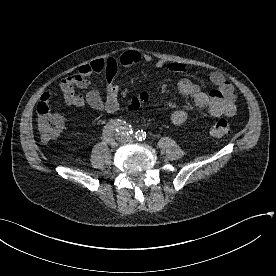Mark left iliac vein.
Masks as SVG:
<instances>
[{
  "mask_svg": "<svg viewBox=\"0 0 276 276\" xmlns=\"http://www.w3.org/2000/svg\"><path fill=\"white\" fill-rule=\"evenodd\" d=\"M117 136H118L119 141L122 143L133 142V139L131 137H126L121 134H118Z\"/></svg>",
  "mask_w": 276,
  "mask_h": 276,
  "instance_id": "left-iliac-vein-1",
  "label": "left iliac vein"
}]
</instances>
